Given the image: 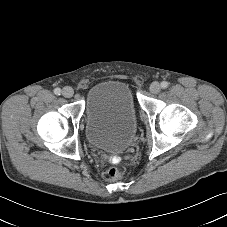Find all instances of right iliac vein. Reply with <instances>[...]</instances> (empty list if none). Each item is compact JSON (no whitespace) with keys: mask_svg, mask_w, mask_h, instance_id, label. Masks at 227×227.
<instances>
[{"mask_svg":"<svg viewBox=\"0 0 227 227\" xmlns=\"http://www.w3.org/2000/svg\"><path fill=\"white\" fill-rule=\"evenodd\" d=\"M74 94V91L71 87L67 86V87H64L63 90H62V95L65 97V98H71Z\"/></svg>","mask_w":227,"mask_h":227,"instance_id":"1","label":"right iliac vein"}]
</instances>
